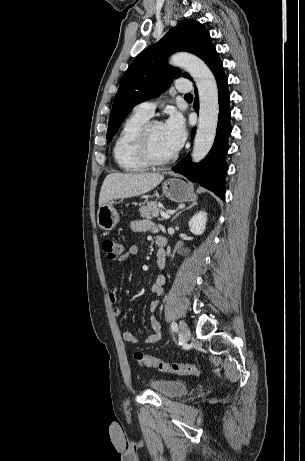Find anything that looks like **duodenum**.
<instances>
[{
  "instance_id": "duodenum-1",
  "label": "duodenum",
  "mask_w": 305,
  "mask_h": 461,
  "mask_svg": "<svg viewBox=\"0 0 305 461\" xmlns=\"http://www.w3.org/2000/svg\"><path fill=\"white\" fill-rule=\"evenodd\" d=\"M156 244H157L159 250H160V251H163L164 248H165V246H166V244H167V240H166V238L163 237V236H158V237L156 238Z\"/></svg>"
}]
</instances>
